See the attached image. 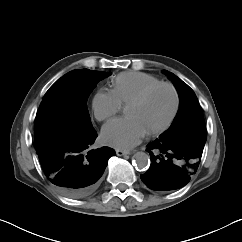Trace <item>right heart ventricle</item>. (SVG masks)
<instances>
[{
    "instance_id": "1",
    "label": "right heart ventricle",
    "mask_w": 242,
    "mask_h": 242,
    "mask_svg": "<svg viewBox=\"0 0 242 242\" xmlns=\"http://www.w3.org/2000/svg\"><path fill=\"white\" fill-rule=\"evenodd\" d=\"M160 80L144 72H123L112 80V90L122 103H128L145 88L153 85Z\"/></svg>"
}]
</instances>
